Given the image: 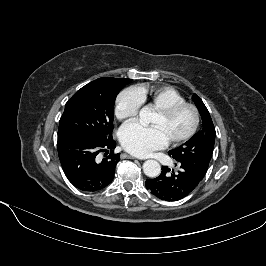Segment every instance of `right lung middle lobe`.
<instances>
[{
  "label": "right lung middle lobe",
  "mask_w": 266,
  "mask_h": 266,
  "mask_svg": "<svg viewBox=\"0 0 266 266\" xmlns=\"http://www.w3.org/2000/svg\"><path fill=\"white\" fill-rule=\"evenodd\" d=\"M132 79L99 78L79 89L66 103L58 138L86 136L105 140L113 130L114 103Z\"/></svg>",
  "instance_id": "1"
}]
</instances>
